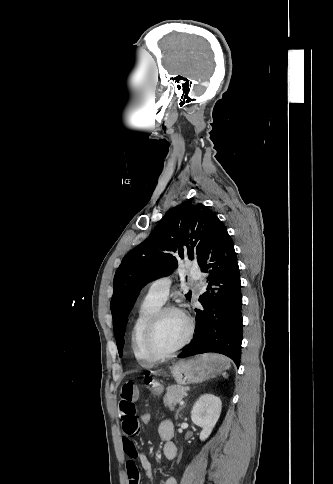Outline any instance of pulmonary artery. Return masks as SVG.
Listing matches in <instances>:
<instances>
[{
    "instance_id": "e3ab8cb5",
    "label": "pulmonary artery",
    "mask_w": 333,
    "mask_h": 484,
    "mask_svg": "<svg viewBox=\"0 0 333 484\" xmlns=\"http://www.w3.org/2000/svg\"><path fill=\"white\" fill-rule=\"evenodd\" d=\"M189 273L195 279L200 277V272L194 268H191ZM171 282L169 277L155 280L148 289L147 297L163 304L168 297Z\"/></svg>"
}]
</instances>
